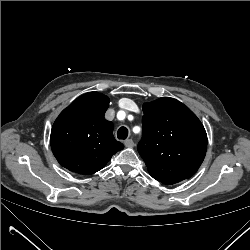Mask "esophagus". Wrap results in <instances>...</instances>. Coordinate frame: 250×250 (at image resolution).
<instances>
[{
  "mask_svg": "<svg viewBox=\"0 0 250 250\" xmlns=\"http://www.w3.org/2000/svg\"><path fill=\"white\" fill-rule=\"evenodd\" d=\"M124 145L127 148H132L134 146V142L131 139H127V140L124 141Z\"/></svg>",
  "mask_w": 250,
  "mask_h": 250,
  "instance_id": "34e87169",
  "label": "esophagus"
}]
</instances>
